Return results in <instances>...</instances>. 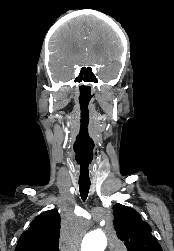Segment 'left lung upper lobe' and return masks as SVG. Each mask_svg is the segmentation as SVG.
I'll return each mask as SVG.
<instances>
[{
	"label": "left lung upper lobe",
	"mask_w": 174,
	"mask_h": 251,
	"mask_svg": "<svg viewBox=\"0 0 174 251\" xmlns=\"http://www.w3.org/2000/svg\"><path fill=\"white\" fill-rule=\"evenodd\" d=\"M113 211L117 236L124 241L128 251H162L160 244L151 234V227L141 219L136 210L115 204Z\"/></svg>",
	"instance_id": "5c2ea615"
}]
</instances>
